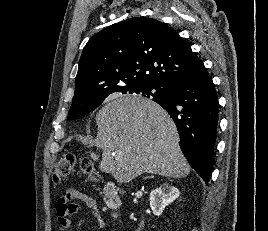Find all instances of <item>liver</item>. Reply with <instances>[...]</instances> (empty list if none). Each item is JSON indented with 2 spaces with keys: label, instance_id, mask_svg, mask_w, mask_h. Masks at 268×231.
<instances>
[{
  "label": "liver",
  "instance_id": "liver-1",
  "mask_svg": "<svg viewBox=\"0 0 268 231\" xmlns=\"http://www.w3.org/2000/svg\"><path fill=\"white\" fill-rule=\"evenodd\" d=\"M99 169L119 183L143 173L183 178L190 166L167 112L152 100L127 95L106 103L96 115Z\"/></svg>",
  "mask_w": 268,
  "mask_h": 231
}]
</instances>
